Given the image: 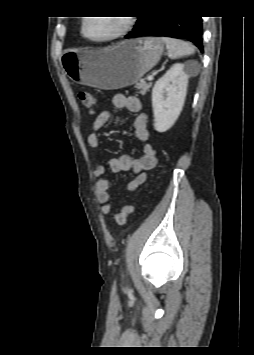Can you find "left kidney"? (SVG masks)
Segmentation results:
<instances>
[{"label":"left kidney","mask_w":254,"mask_h":355,"mask_svg":"<svg viewBox=\"0 0 254 355\" xmlns=\"http://www.w3.org/2000/svg\"><path fill=\"white\" fill-rule=\"evenodd\" d=\"M188 78L185 65L176 63L155 83L152 107L156 131L166 132L179 117L186 97Z\"/></svg>","instance_id":"5707ae66"}]
</instances>
